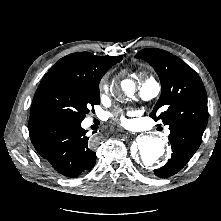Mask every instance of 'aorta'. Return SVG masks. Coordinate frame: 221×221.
<instances>
[{
    "mask_svg": "<svg viewBox=\"0 0 221 221\" xmlns=\"http://www.w3.org/2000/svg\"><path fill=\"white\" fill-rule=\"evenodd\" d=\"M121 89L127 96L134 94V83L132 80L121 82ZM136 152L134 158L137 163L144 168L150 169L157 162L162 160L166 153L165 141L159 137L144 136L137 140Z\"/></svg>",
    "mask_w": 221,
    "mask_h": 221,
    "instance_id": "obj_1",
    "label": "aorta"
}]
</instances>
